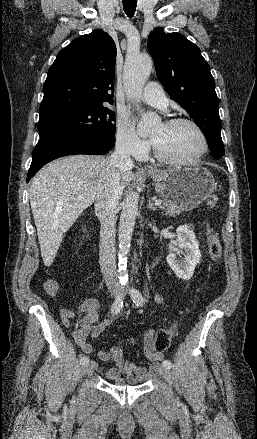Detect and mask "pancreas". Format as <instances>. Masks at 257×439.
Wrapping results in <instances>:
<instances>
[{
  "label": "pancreas",
  "mask_w": 257,
  "mask_h": 439,
  "mask_svg": "<svg viewBox=\"0 0 257 439\" xmlns=\"http://www.w3.org/2000/svg\"><path fill=\"white\" fill-rule=\"evenodd\" d=\"M159 208L164 210L169 216L179 215L182 212L179 208L167 200H163V204L160 205Z\"/></svg>",
  "instance_id": "cf45deb5"
}]
</instances>
